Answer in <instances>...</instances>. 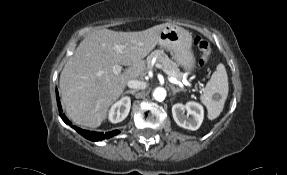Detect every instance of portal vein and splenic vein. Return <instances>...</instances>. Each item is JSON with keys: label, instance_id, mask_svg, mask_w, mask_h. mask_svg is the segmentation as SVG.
<instances>
[{"label": "portal vein and splenic vein", "instance_id": "18ae733b", "mask_svg": "<svg viewBox=\"0 0 287 175\" xmlns=\"http://www.w3.org/2000/svg\"><path fill=\"white\" fill-rule=\"evenodd\" d=\"M124 48H125L124 45H118V44L115 45V49H116L118 52H122ZM155 66H156L158 69H161V70H162L163 72H165L166 74H168V72L163 68V66H162L161 64L156 63ZM121 70H122V67H121L120 65H114V66H113V72H114L115 74L120 73ZM168 80H169L170 82L174 83V84H178V85L181 84V82L177 81V79H176L175 77H173V76L168 77ZM184 84L187 85L188 83L186 82V83H184Z\"/></svg>", "mask_w": 287, "mask_h": 175}]
</instances>
